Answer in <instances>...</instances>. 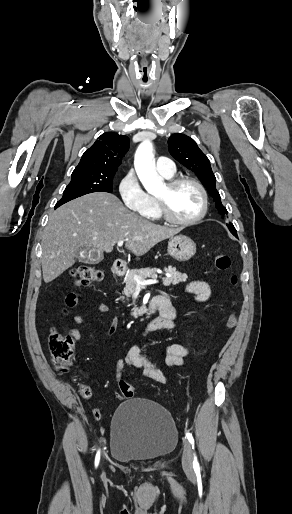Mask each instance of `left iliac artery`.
Instances as JSON below:
<instances>
[{
    "label": "left iliac artery",
    "mask_w": 292,
    "mask_h": 514,
    "mask_svg": "<svg viewBox=\"0 0 292 514\" xmlns=\"http://www.w3.org/2000/svg\"><path fill=\"white\" fill-rule=\"evenodd\" d=\"M186 437H187L188 441L190 442V444L192 445V448L194 449V438H193L192 434L189 432H186ZM193 468L195 470L199 469V463H198L197 457L195 455H194V460H193Z\"/></svg>",
    "instance_id": "obj_1"
}]
</instances>
